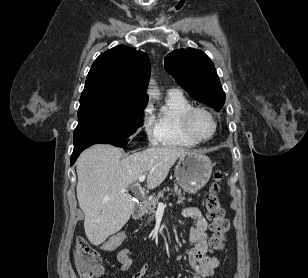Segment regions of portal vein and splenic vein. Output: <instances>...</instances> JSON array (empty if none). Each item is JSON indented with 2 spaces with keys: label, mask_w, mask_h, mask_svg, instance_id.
<instances>
[{
  "label": "portal vein and splenic vein",
  "mask_w": 308,
  "mask_h": 278,
  "mask_svg": "<svg viewBox=\"0 0 308 278\" xmlns=\"http://www.w3.org/2000/svg\"><path fill=\"white\" fill-rule=\"evenodd\" d=\"M145 178H146V174H142V175L139 176L138 181L141 183L145 180ZM120 192L124 193V192H126V189H122ZM158 205L161 206L163 204L160 202Z\"/></svg>",
  "instance_id": "obj_1"
}]
</instances>
